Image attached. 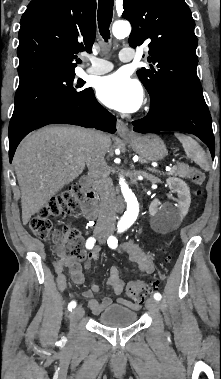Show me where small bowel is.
Here are the masks:
<instances>
[{
    "label": "small bowel",
    "mask_w": 221,
    "mask_h": 379,
    "mask_svg": "<svg viewBox=\"0 0 221 379\" xmlns=\"http://www.w3.org/2000/svg\"><path fill=\"white\" fill-rule=\"evenodd\" d=\"M120 250L128 255L131 262L137 264L141 272L145 274H151L154 271V265L152 261L134 241H126L122 244ZM99 252L100 249L98 247H95L88 254V259L84 264L85 269H90L92 263L97 261ZM58 254L61 258V261H56L54 266L56 269L57 281L60 289L64 290L68 285L67 279L63 274V263H65L69 268L71 280L75 284H82L85 278L79 260L66 258L61 249L58 251ZM106 286L107 290L116 296H119L123 293L126 287V282L120 277V272L117 266H112L110 268ZM99 290V286L96 283H92L90 289L84 293L85 298L88 299V307L94 315L100 314L113 302V299L110 296H105L102 300L95 299L93 295L94 293L99 292ZM118 302L129 306H136L122 298H119Z\"/></svg>",
    "instance_id": "1"
}]
</instances>
